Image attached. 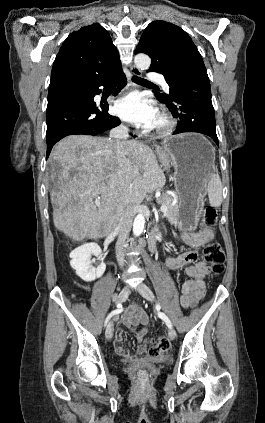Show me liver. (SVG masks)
I'll return each mask as SVG.
<instances>
[{
    "instance_id": "1",
    "label": "liver",
    "mask_w": 265,
    "mask_h": 423,
    "mask_svg": "<svg viewBox=\"0 0 265 423\" xmlns=\"http://www.w3.org/2000/svg\"><path fill=\"white\" fill-rule=\"evenodd\" d=\"M156 153L161 165L139 141H127L119 158L117 147L107 138L62 139L49 158L57 187L51 192L55 227L76 241L108 236L128 203L138 205L147 193L164 186L170 159L163 147L156 146ZM99 197L97 206L94 199Z\"/></svg>"
}]
</instances>
